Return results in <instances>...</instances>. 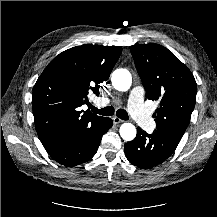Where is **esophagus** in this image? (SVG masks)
<instances>
[{"label":"esophagus","instance_id":"34e87169","mask_svg":"<svg viewBox=\"0 0 217 217\" xmlns=\"http://www.w3.org/2000/svg\"><path fill=\"white\" fill-rule=\"evenodd\" d=\"M122 122H123L122 119H120V118H118V117H113V123H114V124H120V123H122Z\"/></svg>","mask_w":217,"mask_h":217}]
</instances>
